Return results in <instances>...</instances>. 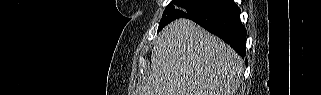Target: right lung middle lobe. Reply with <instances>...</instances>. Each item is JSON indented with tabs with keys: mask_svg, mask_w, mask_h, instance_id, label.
I'll return each instance as SVG.
<instances>
[{
	"mask_svg": "<svg viewBox=\"0 0 321 95\" xmlns=\"http://www.w3.org/2000/svg\"><path fill=\"white\" fill-rule=\"evenodd\" d=\"M213 0H172L165 8L158 32L171 21L186 17L203 8Z\"/></svg>",
	"mask_w": 321,
	"mask_h": 95,
	"instance_id": "1",
	"label": "right lung middle lobe"
}]
</instances>
